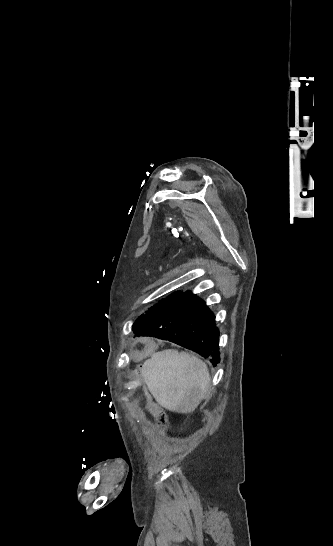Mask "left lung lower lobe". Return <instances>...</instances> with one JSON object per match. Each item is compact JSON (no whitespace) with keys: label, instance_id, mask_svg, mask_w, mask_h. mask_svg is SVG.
Masks as SVG:
<instances>
[{"label":"left lung lower lobe","instance_id":"left-lung-lower-lobe-1","mask_svg":"<svg viewBox=\"0 0 333 546\" xmlns=\"http://www.w3.org/2000/svg\"><path fill=\"white\" fill-rule=\"evenodd\" d=\"M132 330L136 336L168 340L209 357L214 366L220 362L215 315L190 291L162 306L140 328L134 323Z\"/></svg>","mask_w":333,"mask_h":546}]
</instances>
